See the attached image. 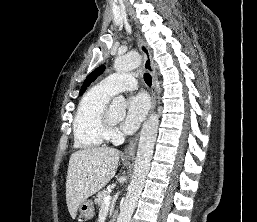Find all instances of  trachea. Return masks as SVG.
<instances>
[{
  "mask_svg": "<svg viewBox=\"0 0 257 222\" xmlns=\"http://www.w3.org/2000/svg\"><path fill=\"white\" fill-rule=\"evenodd\" d=\"M144 81L148 86H151L152 84V77L149 73L144 74Z\"/></svg>",
  "mask_w": 257,
  "mask_h": 222,
  "instance_id": "trachea-1",
  "label": "trachea"
}]
</instances>
